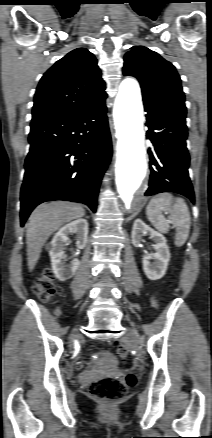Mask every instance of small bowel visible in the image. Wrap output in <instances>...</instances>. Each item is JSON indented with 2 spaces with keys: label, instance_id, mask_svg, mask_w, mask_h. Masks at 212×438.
Instances as JSON below:
<instances>
[{
  "label": "small bowel",
  "instance_id": "1",
  "mask_svg": "<svg viewBox=\"0 0 212 438\" xmlns=\"http://www.w3.org/2000/svg\"><path fill=\"white\" fill-rule=\"evenodd\" d=\"M154 304L157 305V301H154Z\"/></svg>",
  "mask_w": 212,
  "mask_h": 438
}]
</instances>
